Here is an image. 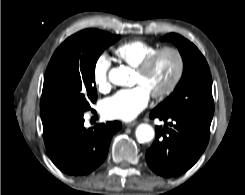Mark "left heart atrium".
<instances>
[{"label":"left heart atrium","instance_id":"39dd6f15","mask_svg":"<svg viewBox=\"0 0 245 195\" xmlns=\"http://www.w3.org/2000/svg\"><path fill=\"white\" fill-rule=\"evenodd\" d=\"M150 93L141 85L123 89L101 103L102 114L109 119L131 121L148 105Z\"/></svg>","mask_w":245,"mask_h":195}]
</instances>
